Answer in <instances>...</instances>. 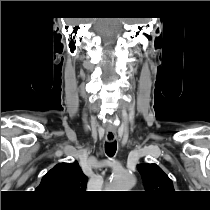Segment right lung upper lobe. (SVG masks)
Returning a JSON list of instances; mask_svg holds the SVG:
<instances>
[{
    "mask_svg": "<svg viewBox=\"0 0 210 210\" xmlns=\"http://www.w3.org/2000/svg\"><path fill=\"white\" fill-rule=\"evenodd\" d=\"M87 181L77 162L59 163L42 178L36 191L57 202H65L83 192Z\"/></svg>",
    "mask_w": 210,
    "mask_h": 210,
    "instance_id": "cb5924a9",
    "label": "right lung upper lobe"
}]
</instances>
